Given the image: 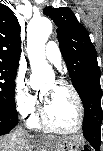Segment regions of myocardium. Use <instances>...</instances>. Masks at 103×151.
Listing matches in <instances>:
<instances>
[{"instance_id":"myocardium-1","label":"myocardium","mask_w":103,"mask_h":151,"mask_svg":"<svg viewBox=\"0 0 103 151\" xmlns=\"http://www.w3.org/2000/svg\"><path fill=\"white\" fill-rule=\"evenodd\" d=\"M55 83L58 86L65 87L73 95V97L76 101V104H77V108H78V114H79L78 124L74 128H71V129L61 128V127L56 126L49 119L44 103L42 104V106L40 108V113H39L40 121L46 128H48L51 131L57 132V133L70 134V133L79 132L85 124V107H84L83 100H82L80 94L78 93L77 89L68 81L59 79V80H56Z\"/></svg>"}]
</instances>
